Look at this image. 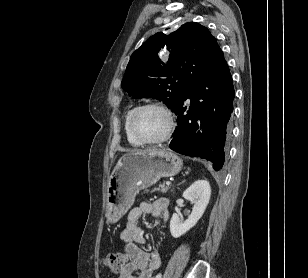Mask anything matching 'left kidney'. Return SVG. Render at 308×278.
<instances>
[{
	"mask_svg": "<svg viewBox=\"0 0 308 278\" xmlns=\"http://www.w3.org/2000/svg\"><path fill=\"white\" fill-rule=\"evenodd\" d=\"M210 196L211 188L207 180H198L184 191L183 197L194 204V207L186 221H182L176 213L172 215L170 232L174 238L182 236L197 224L205 212Z\"/></svg>",
	"mask_w": 308,
	"mask_h": 278,
	"instance_id": "1",
	"label": "left kidney"
}]
</instances>
